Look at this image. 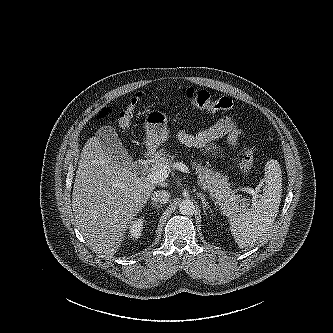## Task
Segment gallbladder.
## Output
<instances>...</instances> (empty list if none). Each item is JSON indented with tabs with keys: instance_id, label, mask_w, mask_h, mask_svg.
Returning <instances> with one entry per match:
<instances>
[{
	"instance_id": "1",
	"label": "gallbladder",
	"mask_w": 333,
	"mask_h": 333,
	"mask_svg": "<svg viewBox=\"0 0 333 333\" xmlns=\"http://www.w3.org/2000/svg\"><path fill=\"white\" fill-rule=\"evenodd\" d=\"M96 137L106 155L127 169L135 170L136 164L133 161V158L123 146L113 127L105 126L100 128L96 132Z\"/></svg>"
}]
</instances>
